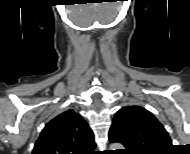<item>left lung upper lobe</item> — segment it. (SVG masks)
I'll use <instances>...</instances> for the list:
<instances>
[{
  "label": "left lung upper lobe",
  "mask_w": 190,
  "mask_h": 154,
  "mask_svg": "<svg viewBox=\"0 0 190 154\" xmlns=\"http://www.w3.org/2000/svg\"><path fill=\"white\" fill-rule=\"evenodd\" d=\"M124 144L130 154H157L172 147L164 126L145 108L137 105L116 112L109 139Z\"/></svg>",
  "instance_id": "5c2ea615"
}]
</instances>
